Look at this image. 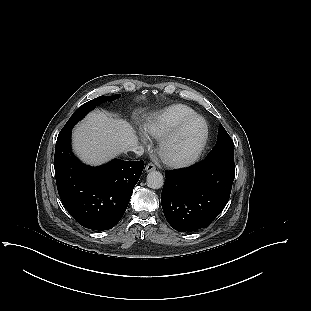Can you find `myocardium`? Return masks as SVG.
<instances>
[{
	"label": "myocardium",
	"instance_id": "1",
	"mask_svg": "<svg viewBox=\"0 0 311 311\" xmlns=\"http://www.w3.org/2000/svg\"><path fill=\"white\" fill-rule=\"evenodd\" d=\"M200 120L203 126L202 135L196 148L187 156L175 157L168 153V148L172 142L182 133V131L193 121ZM209 138V126L206 119L193 114L182 120L176 127L166 133L159 141L157 152L160 160L167 166L173 168H183L194 164L202 155Z\"/></svg>",
	"mask_w": 311,
	"mask_h": 311
}]
</instances>
